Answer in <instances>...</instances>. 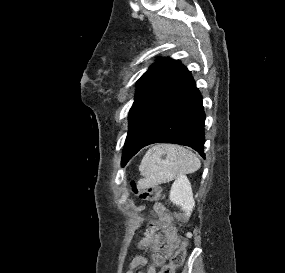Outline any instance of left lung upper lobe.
I'll list each match as a JSON object with an SVG mask.
<instances>
[{"label":"left lung upper lobe","mask_w":285,"mask_h":273,"mask_svg":"<svg viewBox=\"0 0 285 273\" xmlns=\"http://www.w3.org/2000/svg\"><path fill=\"white\" fill-rule=\"evenodd\" d=\"M185 70L178 61L161 58L152 64L136 84V94L130 109L129 128L173 87Z\"/></svg>","instance_id":"obj_1"}]
</instances>
